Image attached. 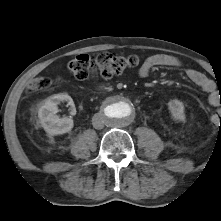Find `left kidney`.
Returning a JSON list of instances; mask_svg holds the SVG:
<instances>
[{"label": "left kidney", "instance_id": "5707ae66", "mask_svg": "<svg viewBox=\"0 0 221 221\" xmlns=\"http://www.w3.org/2000/svg\"><path fill=\"white\" fill-rule=\"evenodd\" d=\"M168 109L171 113L173 120L175 121H184V105L179 100H171L168 102Z\"/></svg>", "mask_w": 221, "mask_h": 221}]
</instances>
